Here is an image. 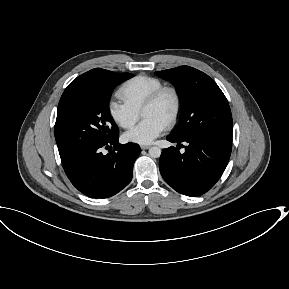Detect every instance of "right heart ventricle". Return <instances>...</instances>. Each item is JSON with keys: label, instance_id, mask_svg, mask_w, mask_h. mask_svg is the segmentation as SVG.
<instances>
[{"label": "right heart ventricle", "instance_id": "1", "mask_svg": "<svg viewBox=\"0 0 289 289\" xmlns=\"http://www.w3.org/2000/svg\"><path fill=\"white\" fill-rule=\"evenodd\" d=\"M161 86L163 82L156 77L137 75L122 84L118 90V96L128 106L140 112L149 95Z\"/></svg>", "mask_w": 289, "mask_h": 289}]
</instances>
